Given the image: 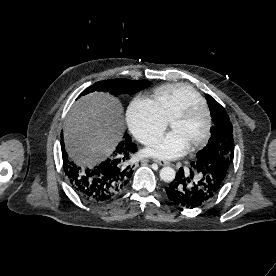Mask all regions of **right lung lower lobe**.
Returning a JSON list of instances; mask_svg holds the SVG:
<instances>
[{
  "mask_svg": "<svg viewBox=\"0 0 276 276\" xmlns=\"http://www.w3.org/2000/svg\"><path fill=\"white\" fill-rule=\"evenodd\" d=\"M64 172L75 192L84 200L102 203L121 193L129 184L133 170L127 165L137 146L130 139L121 141L113 154L94 167H79L68 159L61 140Z\"/></svg>",
  "mask_w": 276,
  "mask_h": 276,
  "instance_id": "obj_1",
  "label": "right lung lower lobe"
}]
</instances>
